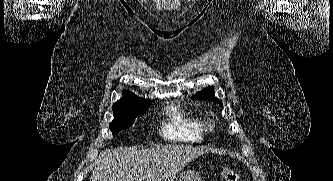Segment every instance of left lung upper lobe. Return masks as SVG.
<instances>
[{
    "mask_svg": "<svg viewBox=\"0 0 333 181\" xmlns=\"http://www.w3.org/2000/svg\"><path fill=\"white\" fill-rule=\"evenodd\" d=\"M192 99H202V100H211L215 103L222 104V101L214 97L213 87H207L204 90L197 92L196 95L192 96Z\"/></svg>",
    "mask_w": 333,
    "mask_h": 181,
    "instance_id": "left-lung-upper-lobe-1",
    "label": "left lung upper lobe"
}]
</instances>
